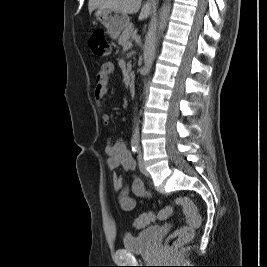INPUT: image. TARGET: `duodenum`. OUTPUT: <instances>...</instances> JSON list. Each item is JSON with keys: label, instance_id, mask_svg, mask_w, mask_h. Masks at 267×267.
<instances>
[{"label": "duodenum", "instance_id": "obj_1", "mask_svg": "<svg viewBox=\"0 0 267 267\" xmlns=\"http://www.w3.org/2000/svg\"><path fill=\"white\" fill-rule=\"evenodd\" d=\"M127 86L131 95L135 94V75L130 72L127 78Z\"/></svg>", "mask_w": 267, "mask_h": 267}]
</instances>
